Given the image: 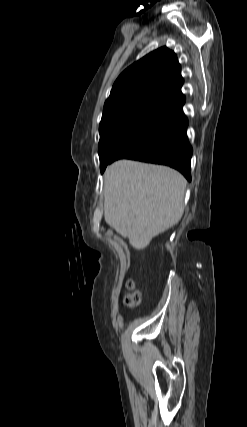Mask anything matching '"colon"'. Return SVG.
<instances>
[{"label": "colon", "instance_id": "obj_1", "mask_svg": "<svg viewBox=\"0 0 247 427\" xmlns=\"http://www.w3.org/2000/svg\"><path fill=\"white\" fill-rule=\"evenodd\" d=\"M128 294L125 296L124 303L128 307H135L141 301V291L137 288L133 280L127 282Z\"/></svg>", "mask_w": 247, "mask_h": 427}]
</instances>
